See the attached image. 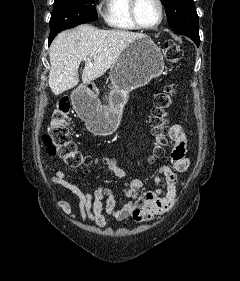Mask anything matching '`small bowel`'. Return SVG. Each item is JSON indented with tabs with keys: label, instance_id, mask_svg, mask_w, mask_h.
Wrapping results in <instances>:
<instances>
[{
	"label": "small bowel",
	"instance_id": "small-bowel-1",
	"mask_svg": "<svg viewBox=\"0 0 240 281\" xmlns=\"http://www.w3.org/2000/svg\"><path fill=\"white\" fill-rule=\"evenodd\" d=\"M170 140L168 164L159 167L153 176L154 190H144L140 179H130L125 170L102 157L109 171L117 178L123 179L122 194L127 199L121 207H117L111 189L99 186L94 190H83L82 187L63 171H55L51 182L68 189L78 198L79 214L82 221H88L99 228L108 225L107 216L123 222L129 218L137 223H147L168 211L177 199V173L185 172L190 166L186 156L187 137L180 124H173L168 131ZM88 174L89 171H84ZM165 182V190L162 182ZM57 206L68 216L72 214L71 205L67 201H58Z\"/></svg>",
	"mask_w": 240,
	"mask_h": 281
}]
</instances>
